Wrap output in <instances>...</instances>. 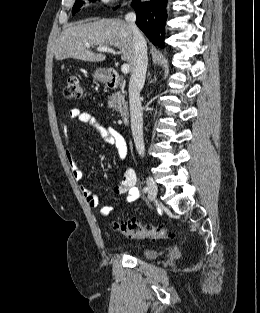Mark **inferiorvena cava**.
<instances>
[{"label":"inferior vena cava","instance_id":"602c4592","mask_svg":"<svg viewBox=\"0 0 260 313\" xmlns=\"http://www.w3.org/2000/svg\"><path fill=\"white\" fill-rule=\"evenodd\" d=\"M125 20L133 32L134 57L131 78L129 82V106L131 117V130L136 150L143 156L145 152L143 139V113L140 101V91L145 83V76L148 64L147 44L136 25L135 13H128Z\"/></svg>","mask_w":260,"mask_h":313}]
</instances>
